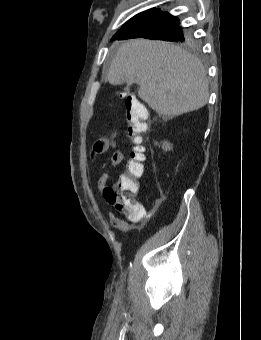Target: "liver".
Listing matches in <instances>:
<instances>
[{
  "label": "liver",
  "instance_id": "1",
  "mask_svg": "<svg viewBox=\"0 0 261 340\" xmlns=\"http://www.w3.org/2000/svg\"><path fill=\"white\" fill-rule=\"evenodd\" d=\"M107 80L112 85L133 80L138 96L160 116H178L208 102V81L201 62L164 41L133 39L115 54Z\"/></svg>",
  "mask_w": 261,
  "mask_h": 340
}]
</instances>
